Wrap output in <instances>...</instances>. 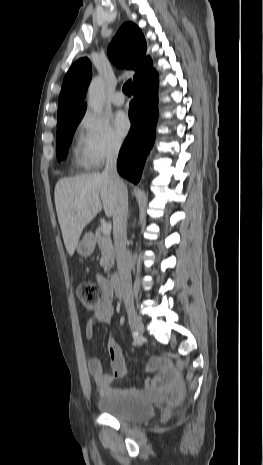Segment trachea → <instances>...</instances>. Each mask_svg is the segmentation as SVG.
Wrapping results in <instances>:
<instances>
[{
	"mask_svg": "<svg viewBox=\"0 0 263 465\" xmlns=\"http://www.w3.org/2000/svg\"><path fill=\"white\" fill-rule=\"evenodd\" d=\"M123 92L128 95V96H131V80L127 81L124 86H123Z\"/></svg>",
	"mask_w": 263,
	"mask_h": 465,
	"instance_id": "1",
	"label": "trachea"
}]
</instances>
